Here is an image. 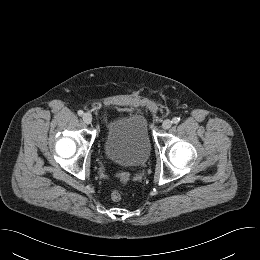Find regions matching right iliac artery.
Wrapping results in <instances>:
<instances>
[{
	"mask_svg": "<svg viewBox=\"0 0 260 260\" xmlns=\"http://www.w3.org/2000/svg\"><path fill=\"white\" fill-rule=\"evenodd\" d=\"M83 114H84V112H83L82 110H79V111H78V115H79V116H82Z\"/></svg>",
	"mask_w": 260,
	"mask_h": 260,
	"instance_id": "82829eb1",
	"label": "right iliac artery"
}]
</instances>
